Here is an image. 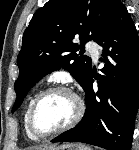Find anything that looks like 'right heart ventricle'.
Wrapping results in <instances>:
<instances>
[{"label":"right heart ventricle","mask_w":139,"mask_h":150,"mask_svg":"<svg viewBox=\"0 0 139 150\" xmlns=\"http://www.w3.org/2000/svg\"><path fill=\"white\" fill-rule=\"evenodd\" d=\"M36 96H37V94L33 95V96L29 99V101H28V103H27V106H26V108H25L24 118H23V119H24V127H25L26 134H27V136H28L30 139H32V140H36V139H38V138L35 137V136L30 132V130H29V128H28V124H27V118H28V112H29L30 106H31V104H32V102H33V100L35 99Z\"/></svg>","instance_id":"1"}]
</instances>
